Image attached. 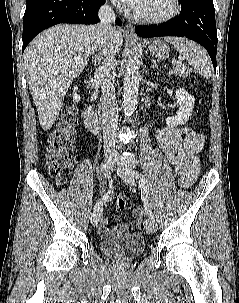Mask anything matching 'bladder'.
Segmentation results:
<instances>
[{
	"mask_svg": "<svg viewBox=\"0 0 239 303\" xmlns=\"http://www.w3.org/2000/svg\"><path fill=\"white\" fill-rule=\"evenodd\" d=\"M99 248L106 257L131 261L144 251L145 244L139 233H126L114 239L102 240Z\"/></svg>",
	"mask_w": 239,
	"mask_h": 303,
	"instance_id": "bladder-1",
	"label": "bladder"
}]
</instances>
